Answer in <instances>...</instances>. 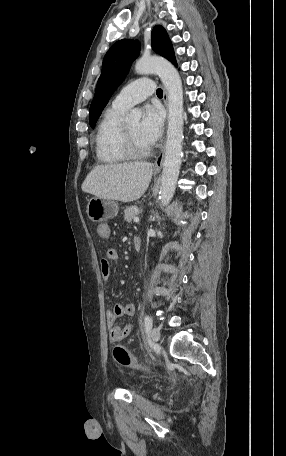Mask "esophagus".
Instances as JSON below:
<instances>
[{"mask_svg": "<svg viewBox=\"0 0 286 456\" xmlns=\"http://www.w3.org/2000/svg\"><path fill=\"white\" fill-rule=\"evenodd\" d=\"M164 103L167 107V93L166 91H164ZM163 160H164V146L161 148L159 154H158V157L155 161V165H154V169L156 171H159L161 168H162V164H163Z\"/></svg>", "mask_w": 286, "mask_h": 456, "instance_id": "34e87169", "label": "esophagus"}]
</instances>
